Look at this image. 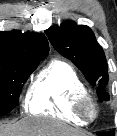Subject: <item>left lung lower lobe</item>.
Segmentation results:
<instances>
[{"mask_svg": "<svg viewBox=\"0 0 117 136\" xmlns=\"http://www.w3.org/2000/svg\"><path fill=\"white\" fill-rule=\"evenodd\" d=\"M97 135H99V136H114L115 134H114V131H111V132H106V133L97 132Z\"/></svg>", "mask_w": 117, "mask_h": 136, "instance_id": "left-lung-lower-lobe-1", "label": "left lung lower lobe"}]
</instances>
